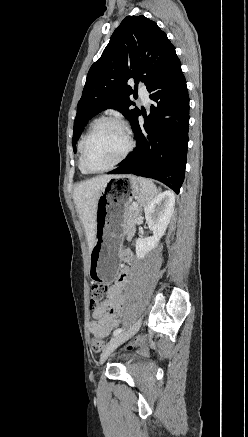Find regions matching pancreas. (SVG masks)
<instances>
[{
  "instance_id": "pancreas-1",
  "label": "pancreas",
  "mask_w": 248,
  "mask_h": 437,
  "mask_svg": "<svg viewBox=\"0 0 248 437\" xmlns=\"http://www.w3.org/2000/svg\"><path fill=\"white\" fill-rule=\"evenodd\" d=\"M140 209L138 206H133V204H129L126 208L124 217L126 223L127 232H132L135 230V225L139 216Z\"/></svg>"
}]
</instances>
